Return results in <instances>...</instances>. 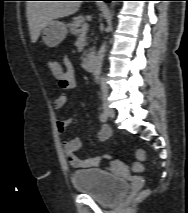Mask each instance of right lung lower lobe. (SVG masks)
Returning <instances> with one entry per match:
<instances>
[{
  "mask_svg": "<svg viewBox=\"0 0 188 213\" xmlns=\"http://www.w3.org/2000/svg\"><path fill=\"white\" fill-rule=\"evenodd\" d=\"M103 1H105V2H110L111 0H103Z\"/></svg>",
  "mask_w": 188,
  "mask_h": 213,
  "instance_id": "right-lung-lower-lobe-1",
  "label": "right lung lower lobe"
}]
</instances>
